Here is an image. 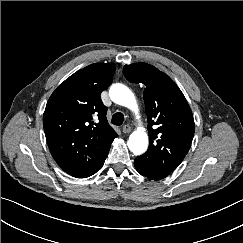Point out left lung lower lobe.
Segmentation results:
<instances>
[{
    "label": "left lung lower lobe",
    "mask_w": 243,
    "mask_h": 243,
    "mask_svg": "<svg viewBox=\"0 0 243 243\" xmlns=\"http://www.w3.org/2000/svg\"><path fill=\"white\" fill-rule=\"evenodd\" d=\"M134 165L139 174H141L142 176H146L147 178L152 180L163 179L170 174L155 167L144 164L138 159L134 160Z\"/></svg>",
    "instance_id": "left-lung-lower-lobe-1"
}]
</instances>
